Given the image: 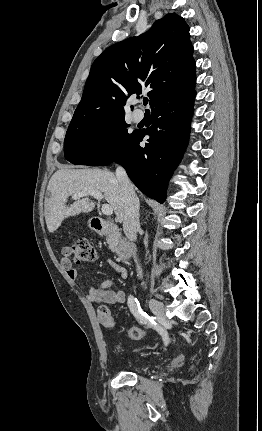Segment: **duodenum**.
I'll return each mask as SVG.
<instances>
[{"instance_id":"obj_1","label":"duodenum","mask_w":262,"mask_h":431,"mask_svg":"<svg viewBox=\"0 0 262 431\" xmlns=\"http://www.w3.org/2000/svg\"><path fill=\"white\" fill-rule=\"evenodd\" d=\"M90 222L98 234L110 235L115 244L117 254L124 260H128L133 254V244L124 238L117 225L102 220L97 216L90 218Z\"/></svg>"}]
</instances>
